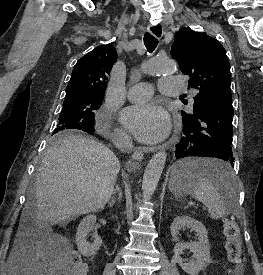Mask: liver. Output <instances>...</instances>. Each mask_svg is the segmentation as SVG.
<instances>
[{"instance_id": "obj_1", "label": "liver", "mask_w": 263, "mask_h": 275, "mask_svg": "<svg viewBox=\"0 0 263 275\" xmlns=\"http://www.w3.org/2000/svg\"><path fill=\"white\" fill-rule=\"evenodd\" d=\"M120 170L115 154L101 142L62 136L46 152L35 181V218L47 227L103 210ZM30 209L27 203L22 217Z\"/></svg>"}]
</instances>
